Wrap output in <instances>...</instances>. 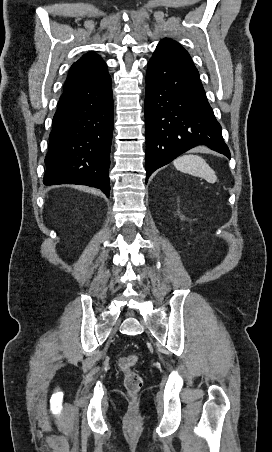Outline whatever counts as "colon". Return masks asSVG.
<instances>
[{"label": "colon", "instance_id": "1", "mask_svg": "<svg viewBox=\"0 0 272 452\" xmlns=\"http://www.w3.org/2000/svg\"><path fill=\"white\" fill-rule=\"evenodd\" d=\"M138 362L136 354L124 355L119 358L118 364L124 374V386L131 397H135L143 385L141 375L133 370V367Z\"/></svg>", "mask_w": 272, "mask_h": 452}]
</instances>
